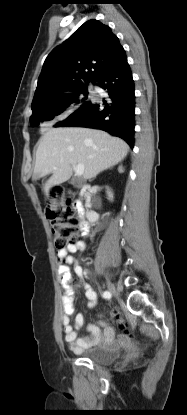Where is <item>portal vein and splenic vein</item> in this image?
I'll use <instances>...</instances> for the list:
<instances>
[{
  "label": "portal vein and splenic vein",
  "instance_id": "1",
  "mask_svg": "<svg viewBox=\"0 0 187 415\" xmlns=\"http://www.w3.org/2000/svg\"><path fill=\"white\" fill-rule=\"evenodd\" d=\"M73 169H74L75 174L77 176H82L83 173H84V165L83 164L73 165Z\"/></svg>",
  "mask_w": 187,
  "mask_h": 415
}]
</instances>
